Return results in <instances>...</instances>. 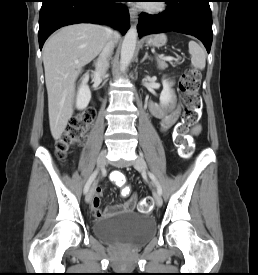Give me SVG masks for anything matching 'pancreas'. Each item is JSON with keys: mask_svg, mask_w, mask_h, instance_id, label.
I'll return each mask as SVG.
<instances>
[{"mask_svg": "<svg viewBox=\"0 0 258 275\" xmlns=\"http://www.w3.org/2000/svg\"><path fill=\"white\" fill-rule=\"evenodd\" d=\"M157 64H158V68L161 70H164L165 68H167V63L162 59L157 58Z\"/></svg>", "mask_w": 258, "mask_h": 275, "instance_id": "1", "label": "pancreas"}]
</instances>
